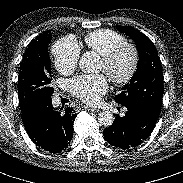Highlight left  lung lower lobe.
Listing matches in <instances>:
<instances>
[{"label": "left lung lower lobe", "instance_id": "1", "mask_svg": "<svg viewBox=\"0 0 183 183\" xmlns=\"http://www.w3.org/2000/svg\"><path fill=\"white\" fill-rule=\"evenodd\" d=\"M125 107V116L116 114L113 124L103 133L110 145L121 149L136 147L146 140L159 117L137 105L128 104Z\"/></svg>", "mask_w": 183, "mask_h": 183}]
</instances>
